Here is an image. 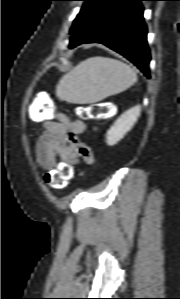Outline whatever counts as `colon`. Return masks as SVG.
<instances>
[{"label":"colon","instance_id":"5ec220e1","mask_svg":"<svg viewBox=\"0 0 180 299\" xmlns=\"http://www.w3.org/2000/svg\"><path fill=\"white\" fill-rule=\"evenodd\" d=\"M104 106L101 104L92 105L89 107H81L80 114L84 118H96L100 115H104ZM54 114V109L51 107L47 110L46 115L40 116L48 117ZM73 178V170L68 165H62L45 175V182L54 189H63Z\"/></svg>","mask_w":180,"mask_h":299}]
</instances>
